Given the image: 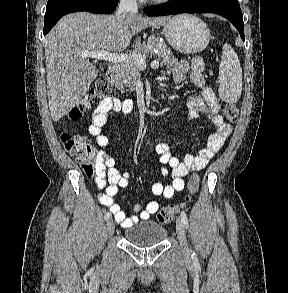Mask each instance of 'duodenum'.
Segmentation results:
<instances>
[{"label": "duodenum", "instance_id": "duodenum-1", "mask_svg": "<svg viewBox=\"0 0 288 293\" xmlns=\"http://www.w3.org/2000/svg\"><path fill=\"white\" fill-rule=\"evenodd\" d=\"M118 75V66L112 64L108 67L106 73V79L110 84H114Z\"/></svg>", "mask_w": 288, "mask_h": 293}]
</instances>
